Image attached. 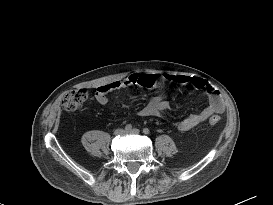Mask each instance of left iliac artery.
I'll return each instance as SVG.
<instances>
[{"label":"left iliac artery","mask_w":273,"mask_h":205,"mask_svg":"<svg viewBox=\"0 0 273 205\" xmlns=\"http://www.w3.org/2000/svg\"><path fill=\"white\" fill-rule=\"evenodd\" d=\"M143 133H144V134H149V133H150V130H149L148 128H144V129H143Z\"/></svg>","instance_id":"44dca946"}]
</instances>
